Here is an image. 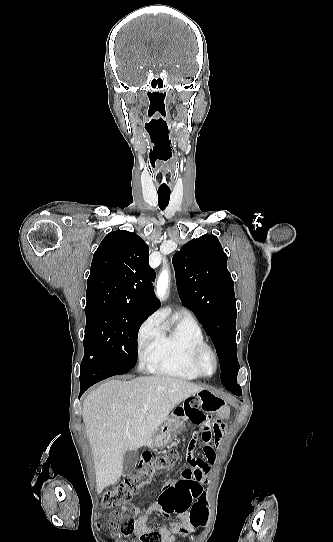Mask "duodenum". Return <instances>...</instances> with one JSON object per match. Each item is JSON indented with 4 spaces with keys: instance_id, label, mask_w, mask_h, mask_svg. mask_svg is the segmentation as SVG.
I'll list each match as a JSON object with an SVG mask.
<instances>
[{
    "instance_id": "410a0bca",
    "label": "duodenum",
    "mask_w": 333,
    "mask_h": 542,
    "mask_svg": "<svg viewBox=\"0 0 333 542\" xmlns=\"http://www.w3.org/2000/svg\"><path fill=\"white\" fill-rule=\"evenodd\" d=\"M150 444V440H147L146 441V445L148 446Z\"/></svg>"
}]
</instances>
